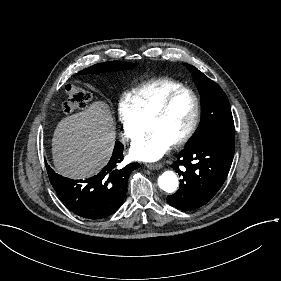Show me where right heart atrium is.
I'll list each match as a JSON object with an SVG mask.
<instances>
[{"label": "right heart atrium", "instance_id": "1", "mask_svg": "<svg viewBox=\"0 0 281 281\" xmlns=\"http://www.w3.org/2000/svg\"><path fill=\"white\" fill-rule=\"evenodd\" d=\"M118 119L122 127L123 143L131 145L143 135L144 127L127 98H120L117 103Z\"/></svg>", "mask_w": 281, "mask_h": 281}]
</instances>
